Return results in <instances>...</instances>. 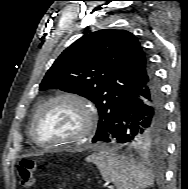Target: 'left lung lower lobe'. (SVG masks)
<instances>
[{
    "label": "left lung lower lobe",
    "instance_id": "0a47b994",
    "mask_svg": "<svg viewBox=\"0 0 188 189\" xmlns=\"http://www.w3.org/2000/svg\"><path fill=\"white\" fill-rule=\"evenodd\" d=\"M165 109L159 83L153 75L135 89L113 126L98 140L133 146L143 134H163Z\"/></svg>",
    "mask_w": 188,
    "mask_h": 189
}]
</instances>
